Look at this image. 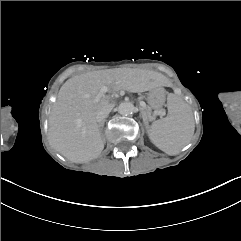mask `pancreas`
Segmentation results:
<instances>
[{"label": "pancreas", "instance_id": "cf45deb5", "mask_svg": "<svg viewBox=\"0 0 241 241\" xmlns=\"http://www.w3.org/2000/svg\"><path fill=\"white\" fill-rule=\"evenodd\" d=\"M143 113L145 114L146 117L153 118L150 107H147L145 111L143 110Z\"/></svg>", "mask_w": 241, "mask_h": 241}]
</instances>
